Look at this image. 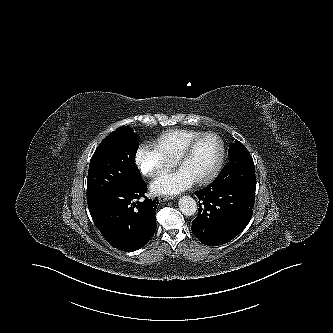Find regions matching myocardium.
<instances>
[{"label":"myocardium","instance_id":"f54148a6","mask_svg":"<svg viewBox=\"0 0 333 333\" xmlns=\"http://www.w3.org/2000/svg\"><path fill=\"white\" fill-rule=\"evenodd\" d=\"M208 136H212L218 140L219 145H220V154H219L218 160H217L214 168L212 169V171L205 178L194 182L196 185H199V186L208 185L211 182H213L217 178V176L219 175V173L222 169V166H223V163L225 160L226 150H225L224 142L220 138V136L214 132L201 133L200 135H198L197 137H195L194 139H192L191 141L188 142V144L184 147V149L182 150V152L180 153V155L178 156V158L175 161L176 165L178 167H180V165L192 154L196 145L203 138L208 137Z\"/></svg>","mask_w":333,"mask_h":333}]
</instances>
